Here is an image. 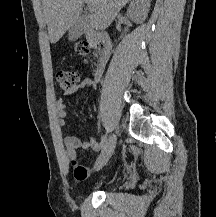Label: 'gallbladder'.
Wrapping results in <instances>:
<instances>
[{
	"label": "gallbladder",
	"instance_id": "1",
	"mask_svg": "<svg viewBox=\"0 0 216 217\" xmlns=\"http://www.w3.org/2000/svg\"><path fill=\"white\" fill-rule=\"evenodd\" d=\"M84 21L83 19L77 21L69 30L68 39L70 41H75L81 37L84 32Z\"/></svg>",
	"mask_w": 216,
	"mask_h": 217
}]
</instances>
